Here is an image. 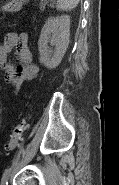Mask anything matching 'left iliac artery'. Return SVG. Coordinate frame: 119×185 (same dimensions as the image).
<instances>
[{
    "label": "left iliac artery",
    "instance_id": "obj_1",
    "mask_svg": "<svg viewBox=\"0 0 119 185\" xmlns=\"http://www.w3.org/2000/svg\"><path fill=\"white\" fill-rule=\"evenodd\" d=\"M11 171V167L7 168L1 178V185H8V177Z\"/></svg>",
    "mask_w": 119,
    "mask_h": 185
}]
</instances>
